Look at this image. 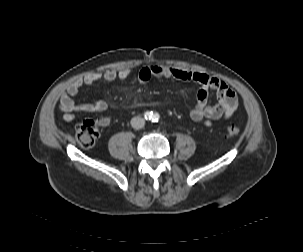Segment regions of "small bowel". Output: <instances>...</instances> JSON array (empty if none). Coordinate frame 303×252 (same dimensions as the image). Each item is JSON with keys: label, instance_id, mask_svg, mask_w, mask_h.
Returning a JSON list of instances; mask_svg holds the SVG:
<instances>
[{"label": "small bowel", "instance_id": "c3829d8e", "mask_svg": "<svg viewBox=\"0 0 303 252\" xmlns=\"http://www.w3.org/2000/svg\"><path fill=\"white\" fill-rule=\"evenodd\" d=\"M133 72L134 69L129 67L119 70L93 72L71 83L60 98L59 109L63 113V120L71 122L79 112H103L108 108L107 102L101 99L93 102L76 103L74 98L79 94L83 86H91L99 81L124 80L130 77ZM152 77L194 81L201 85L189 116L191 120L200 122L205 126H211L219 119L231 117L239 104L236 93L223 80L215 76L190 73L177 67L163 65L143 67L137 71V79L141 83L147 82ZM210 91H213L217 98V102L214 105L208 104ZM97 122L101 127H106L110 124L111 119L109 117H101Z\"/></svg>", "mask_w": 303, "mask_h": 252}]
</instances>
